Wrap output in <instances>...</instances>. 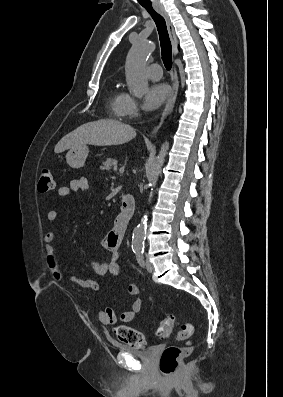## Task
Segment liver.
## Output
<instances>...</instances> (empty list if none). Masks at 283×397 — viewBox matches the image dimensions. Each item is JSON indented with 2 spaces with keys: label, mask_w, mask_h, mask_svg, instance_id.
<instances>
[{
  "label": "liver",
  "mask_w": 283,
  "mask_h": 397,
  "mask_svg": "<svg viewBox=\"0 0 283 397\" xmlns=\"http://www.w3.org/2000/svg\"><path fill=\"white\" fill-rule=\"evenodd\" d=\"M136 131L130 125L114 119H100L88 122L65 135L55 146L54 152L61 153L81 145L110 146L132 140Z\"/></svg>",
  "instance_id": "obj_1"
}]
</instances>
